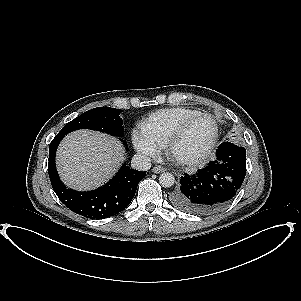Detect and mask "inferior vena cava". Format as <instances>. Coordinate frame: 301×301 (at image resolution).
<instances>
[{"label":"inferior vena cava","mask_w":301,"mask_h":301,"mask_svg":"<svg viewBox=\"0 0 301 301\" xmlns=\"http://www.w3.org/2000/svg\"><path fill=\"white\" fill-rule=\"evenodd\" d=\"M131 167L138 171H147L151 167V159L145 155L136 154L131 160Z\"/></svg>","instance_id":"inferior-vena-cava-1"}]
</instances>
